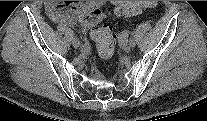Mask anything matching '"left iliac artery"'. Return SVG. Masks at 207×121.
<instances>
[{
  "label": "left iliac artery",
  "instance_id": "1",
  "mask_svg": "<svg viewBox=\"0 0 207 121\" xmlns=\"http://www.w3.org/2000/svg\"><path fill=\"white\" fill-rule=\"evenodd\" d=\"M129 36V33L126 30H123L120 34H119V43L121 45L124 44H132L133 46H135V40L131 39Z\"/></svg>",
  "mask_w": 207,
  "mask_h": 121
}]
</instances>
